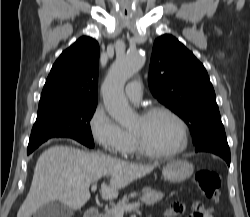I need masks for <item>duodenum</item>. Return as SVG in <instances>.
<instances>
[{
  "label": "duodenum",
  "mask_w": 250,
  "mask_h": 217,
  "mask_svg": "<svg viewBox=\"0 0 250 217\" xmlns=\"http://www.w3.org/2000/svg\"><path fill=\"white\" fill-rule=\"evenodd\" d=\"M99 214L100 212L98 208L95 206H91L86 210L84 217H99Z\"/></svg>",
  "instance_id": "obj_1"
}]
</instances>
